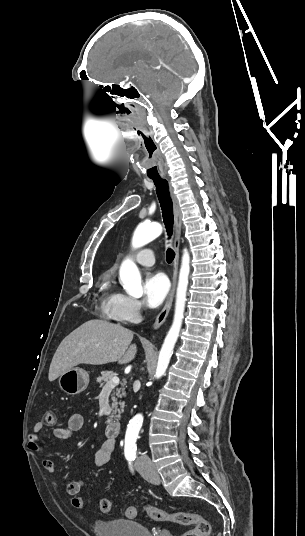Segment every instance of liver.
<instances>
[{
    "mask_svg": "<svg viewBox=\"0 0 305 536\" xmlns=\"http://www.w3.org/2000/svg\"><path fill=\"white\" fill-rule=\"evenodd\" d=\"M133 334L118 324L90 320L64 338L57 348L49 368V382L78 364L101 366L109 362L129 364L134 360L137 346Z\"/></svg>",
    "mask_w": 305,
    "mask_h": 536,
    "instance_id": "obj_1",
    "label": "liver"
}]
</instances>
